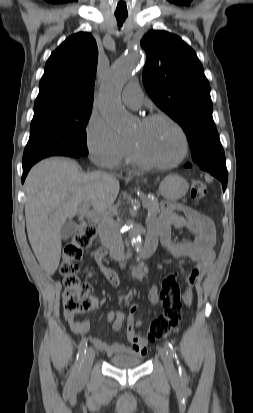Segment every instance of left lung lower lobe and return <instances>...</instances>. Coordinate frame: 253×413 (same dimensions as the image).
Segmentation results:
<instances>
[{"label":"left lung lower lobe","mask_w":253,"mask_h":413,"mask_svg":"<svg viewBox=\"0 0 253 413\" xmlns=\"http://www.w3.org/2000/svg\"><path fill=\"white\" fill-rule=\"evenodd\" d=\"M185 167L190 168L192 167V165L190 163H187L185 164ZM200 169L207 171L215 176L222 183L223 191H225L228 179L226 163H209L200 166Z\"/></svg>","instance_id":"left-lung-lower-lobe-1"}]
</instances>
